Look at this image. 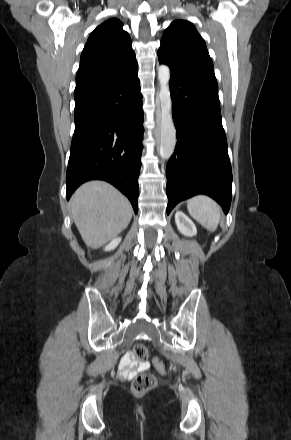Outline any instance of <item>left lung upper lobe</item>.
<instances>
[{
	"mask_svg": "<svg viewBox=\"0 0 291 440\" xmlns=\"http://www.w3.org/2000/svg\"><path fill=\"white\" fill-rule=\"evenodd\" d=\"M158 56L172 67L215 78L206 44L188 21L175 20L170 24L162 36Z\"/></svg>",
	"mask_w": 291,
	"mask_h": 440,
	"instance_id": "5c2ea615",
	"label": "left lung upper lobe"
}]
</instances>
